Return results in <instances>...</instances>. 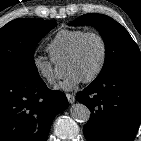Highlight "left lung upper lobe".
<instances>
[{
    "label": "left lung upper lobe",
    "mask_w": 141,
    "mask_h": 141,
    "mask_svg": "<svg viewBox=\"0 0 141 141\" xmlns=\"http://www.w3.org/2000/svg\"><path fill=\"white\" fill-rule=\"evenodd\" d=\"M70 25H91L105 42L106 57L95 81L121 72H141V53L128 31L112 18L102 14H85Z\"/></svg>",
    "instance_id": "5c2ea615"
}]
</instances>
